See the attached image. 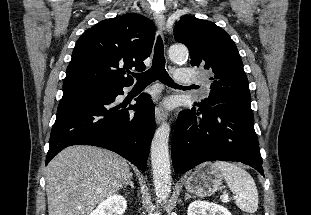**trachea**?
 <instances>
[{"instance_id": "3493384b", "label": "trachea", "mask_w": 311, "mask_h": 215, "mask_svg": "<svg viewBox=\"0 0 311 215\" xmlns=\"http://www.w3.org/2000/svg\"><path fill=\"white\" fill-rule=\"evenodd\" d=\"M137 80V85H149L152 82L159 80L170 87H178L176 83L171 79L165 69V57H164V45L162 38L157 37V41L154 47V56L152 66L147 71L140 74H133Z\"/></svg>"}]
</instances>
